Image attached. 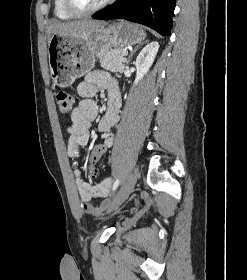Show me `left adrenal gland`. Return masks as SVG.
<instances>
[{"label":"left adrenal gland","instance_id":"a2214340","mask_svg":"<svg viewBox=\"0 0 247 280\" xmlns=\"http://www.w3.org/2000/svg\"><path fill=\"white\" fill-rule=\"evenodd\" d=\"M138 48H139V46H137V47L134 48L133 52H132V53L129 55V57H128L127 63H129V61H130L132 55L137 51Z\"/></svg>","mask_w":247,"mask_h":280}]
</instances>
